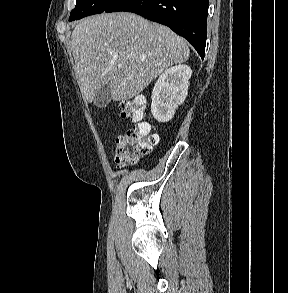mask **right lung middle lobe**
<instances>
[{"instance_id":"obj_1","label":"right lung middle lobe","mask_w":288,"mask_h":293,"mask_svg":"<svg viewBox=\"0 0 288 293\" xmlns=\"http://www.w3.org/2000/svg\"><path fill=\"white\" fill-rule=\"evenodd\" d=\"M119 0H77L75 8L71 11L69 21L102 13Z\"/></svg>"}]
</instances>
